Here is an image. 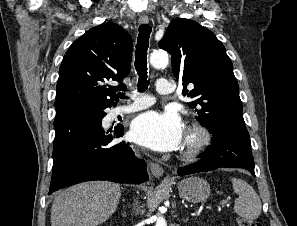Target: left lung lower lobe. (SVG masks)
<instances>
[{"label":"left lung lower lobe","instance_id":"0a47b994","mask_svg":"<svg viewBox=\"0 0 297 226\" xmlns=\"http://www.w3.org/2000/svg\"><path fill=\"white\" fill-rule=\"evenodd\" d=\"M213 135L212 145L200 156L202 159L178 169L179 175H187L217 168H243L254 173V159L247 129L218 127L210 130Z\"/></svg>","mask_w":297,"mask_h":226}]
</instances>
